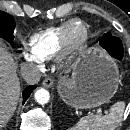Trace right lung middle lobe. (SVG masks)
Instances as JSON below:
<instances>
[{
  "label": "right lung middle lobe",
  "mask_w": 130,
  "mask_h": 130,
  "mask_svg": "<svg viewBox=\"0 0 130 130\" xmlns=\"http://www.w3.org/2000/svg\"><path fill=\"white\" fill-rule=\"evenodd\" d=\"M15 28V20L8 13L0 11V37L8 42L14 39L13 30Z\"/></svg>",
  "instance_id": "1"
}]
</instances>
